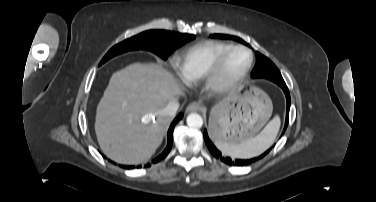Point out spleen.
Returning a JSON list of instances; mask_svg holds the SVG:
<instances>
[{"instance_id":"spleen-1","label":"spleen","mask_w":376,"mask_h":202,"mask_svg":"<svg viewBox=\"0 0 376 202\" xmlns=\"http://www.w3.org/2000/svg\"><path fill=\"white\" fill-rule=\"evenodd\" d=\"M280 117L276 115L256 137L240 144H228L216 141L215 145L224 154L232 158H251L266 151L275 141L280 128Z\"/></svg>"}]
</instances>
